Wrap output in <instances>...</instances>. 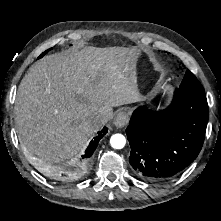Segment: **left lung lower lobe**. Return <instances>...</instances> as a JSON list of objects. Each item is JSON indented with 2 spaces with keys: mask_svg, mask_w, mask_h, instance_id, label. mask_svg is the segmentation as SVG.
<instances>
[{
  "mask_svg": "<svg viewBox=\"0 0 221 221\" xmlns=\"http://www.w3.org/2000/svg\"><path fill=\"white\" fill-rule=\"evenodd\" d=\"M207 121L206 97L178 88L172 103L163 111L137 108L126 129L131 146L129 161L135 173L148 181L178 175L198 156Z\"/></svg>",
  "mask_w": 221,
  "mask_h": 221,
  "instance_id": "0a47b994",
  "label": "left lung lower lobe"
}]
</instances>
